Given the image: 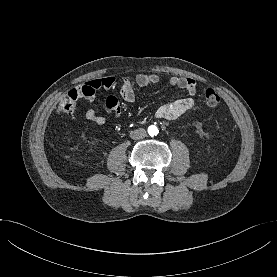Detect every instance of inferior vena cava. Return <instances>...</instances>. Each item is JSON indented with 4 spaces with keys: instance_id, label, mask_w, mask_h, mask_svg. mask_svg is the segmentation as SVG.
<instances>
[{
    "instance_id": "inferior-vena-cava-1",
    "label": "inferior vena cava",
    "mask_w": 277,
    "mask_h": 277,
    "mask_svg": "<svg viewBox=\"0 0 277 277\" xmlns=\"http://www.w3.org/2000/svg\"><path fill=\"white\" fill-rule=\"evenodd\" d=\"M147 136L145 129L139 128L130 132V137L134 140L143 139Z\"/></svg>"
}]
</instances>
